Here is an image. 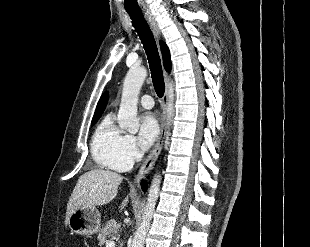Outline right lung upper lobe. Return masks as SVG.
Returning a JSON list of instances; mask_svg holds the SVG:
<instances>
[{"instance_id": "right-lung-upper-lobe-1", "label": "right lung upper lobe", "mask_w": 310, "mask_h": 247, "mask_svg": "<svg viewBox=\"0 0 310 247\" xmlns=\"http://www.w3.org/2000/svg\"><path fill=\"white\" fill-rule=\"evenodd\" d=\"M160 47H161V51H162V55H163L164 67L167 71H170L171 60H170L169 49H168L167 45L162 41L160 42ZM107 102H108V92H105L100 97V100H99L97 107H96L94 117H98V116L102 115V113H103V111L107 105Z\"/></svg>"}]
</instances>
